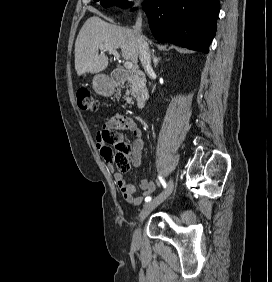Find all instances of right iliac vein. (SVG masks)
<instances>
[{
  "label": "right iliac vein",
  "instance_id": "right-iliac-vein-1",
  "mask_svg": "<svg viewBox=\"0 0 272 282\" xmlns=\"http://www.w3.org/2000/svg\"><path fill=\"white\" fill-rule=\"evenodd\" d=\"M174 188V181L171 178L169 180V183L167 185L166 190L159 194L156 198H154L153 200L149 201L148 203H146L142 209V211L140 212L139 215V223L138 226L134 232L133 235V242L134 244H138L140 241V230H141V225L143 223V221L145 220V218L150 214L151 211H153L158 205H160L166 198H168L170 196V194L172 193Z\"/></svg>",
  "mask_w": 272,
  "mask_h": 282
}]
</instances>
